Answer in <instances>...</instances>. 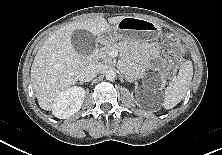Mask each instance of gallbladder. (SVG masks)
<instances>
[{
  "instance_id": "1",
  "label": "gallbladder",
  "mask_w": 222,
  "mask_h": 155,
  "mask_svg": "<svg viewBox=\"0 0 222 155\" xmlns=\"http://www.w3.org/2000/svg\"><path fill=\"white\" fill-rule=\"evenodd\" d=\"M74 49L83 56L90 55L95 47V37L86 30H75L71 34Z\"/></svg>"
}]
</instances>
